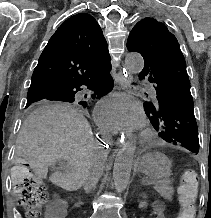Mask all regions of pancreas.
I'll return each mask as SVG.
<instances>
[{"mask_svg":"<svg viewBox=\"0 0 211 218\" xmlns=\"http://www.w3.org/2000/svg\"><path fill=\"white\" fill-rule=\"evenodd\" d=\"M171 180H162V182H155V190L164 198V200H172L174 188L170 186Z\"/></svg>","mask_w":211,"mask_h":218,"instance_id":"pancreas-1","label":"pancreas"}]
</instances>
